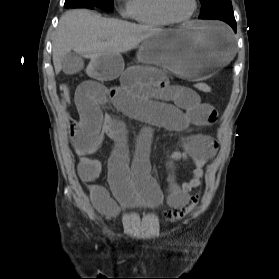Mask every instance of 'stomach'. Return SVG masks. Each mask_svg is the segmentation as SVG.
Here are the masks:
<instances>
[{"label":"stomach","mask_w":279,"mask_h":279,"mask_svg":"<svg viewBox=\"0 0 279 279\" xmlns=\"http://www.w3.org/2000/svg\"><path fill=\"white\" fill-rule=\"evenodd\" d=\"M227 24L190 22L178 29H166L145 40L138 59L152 67L177 73L182 82H206L213 72L226 69L238 50H234ZM121 55L95 54L82 65L79 75L92 82H113L123 71Z\"/></svg>","instance_id":"obj_1"}]
</instances>
